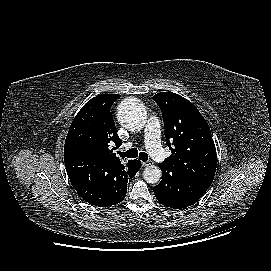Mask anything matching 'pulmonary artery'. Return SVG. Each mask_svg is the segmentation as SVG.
I'll return each instance as SVG.
<instances>
[{
	"instance_id": "pulmonary-artery-1",
	"label": "pulmonary artery",
	"mask_w": 271,
	"mask_h": 271,
	"mask_svg": "<svg viewBox=\"0 0 271 271\" xmlns=\"http://www.w3.org/2000/svg\"><path fill=\"white\" fill-rule=\"evenodd\" d=\"M145 144L151 156L158 162H163L167 154L160 143V124L156 117H150L145 127ZM131 143L125 145L130 147Z\"/></svg>"
}]
</instances>
